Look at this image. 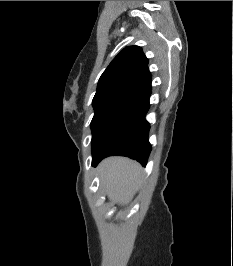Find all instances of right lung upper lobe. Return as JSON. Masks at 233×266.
<instances>
[{"mask_svg":"<svg viewBox=\"0 0 233 266\" xmlns=\"http://www.w3.org/2000/svg\"><path fill=\"white\" fill-rule=\"evenodd\" d=\"M151 93L148 60L139 46L124 48L101 75L93 99L117 93Z\"/></svg>","mask_w":233,"mask_h":266,"instance_id":"right-lung-upper-lobe-1","label":"right lung upper lobe"}]
</instances>
